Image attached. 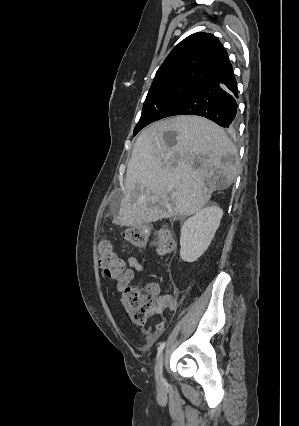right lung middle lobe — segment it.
Listing matches in <instances>:
<instances>
[{
	"label": "right lung middle lobe",
	"mask_w": 299,
	"mask_h": 426,
	"mask_svg": "<svg viewBox=\"0 0 299 426\" xmlns=\"http://www.w3.org/2000/svg\"><path fill=\"white\" fill-rule=\"evenodd\" d=\"M197 87L188 83H167L151 87L143 105L141 118L133 134L136 135L149 123L159 120L168 107Z\"/></svg>",
	"instance_id": "right-lung-middle-lobe-1"
}]
</instances>
